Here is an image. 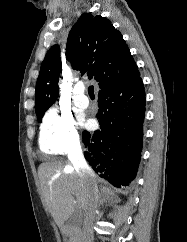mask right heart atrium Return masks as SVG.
I'll use <instances>...</instances> for the list:
<instances>
[{
	"label": "right heart atrium",
	"instance_id": "right-heart-atrium-1",
	"mask_svg": "<svg viewBox=\"0 0 187 242\" xmlns=\"http://www.w3.org/2000/svg\"><path fill=\"white\" fill-rule=\"evenodd\" d=\"M79 136L73 117L56 107L45 114L40 127V147L48 154H65L77 149Z\"/></svg>",
	"mask_w": 187,
	"mask_h": 242
}]
</instances>
